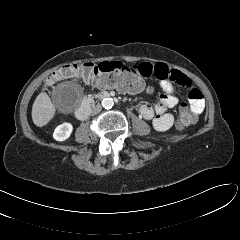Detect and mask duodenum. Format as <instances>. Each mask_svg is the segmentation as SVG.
Returning a JSON list of instances; mask_svg holds the SVG:
<instances>
[{
  "mask_svg": "<svg viewBox=\"0 0 240 240\" xmlns=\"http://www.w3.org/2000/svg\"><path fill=\"white\" fill-rule=\"evenodd\" d=\"M110 94L108 92H101L96 95V98L99 100L109 98ZM93 105V99L88 98L86 99L82 105L76 110L75 115L78 119L84 120L90 113L91 107Z\"/></svg>",
  "mask_w": 240,
  "mask_h": 240,
  "instance_id": "1",
  "label": "duodenum"
}]
</instances>
